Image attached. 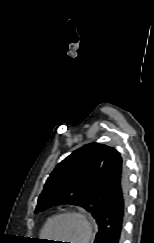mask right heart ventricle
<instances>
[{
    "mask_svg": "<svg viewBox=\"0 0 154 243\" xmlns=\"http://www.w3.org/2000/svg\"><path fill=\"white\" fill-rule=\"evenodd\" d=\"M47 222H48V221L45 222V224H44V226H43V228H42V230H41V236H42V237H45V227H46Z\"/></svg>",
    "mask_w": 154,
    "mask_h": 243,
    "instance_id": "obj_1",
    "label": "right heart ventricle"
}]
</instances>
